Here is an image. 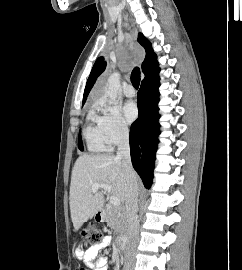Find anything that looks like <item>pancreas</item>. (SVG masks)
I'll return each instance as SVG.
<instances>
[{
  "label": "pancreas",
  "instance_id": "1",
  "mask_svg": "<svg viewBox=\"0 0 242 270\" xmlns=\"http://www.w3.org/2000/svg\"><path fill=\"white\" fill-rule=\"evenodd\" d=\"M105 221L111 228L115 229L121 235L125 233L127 229V222L123 208L114 205L107 207Z\"/></svg>",
  "mask_w": 242,
  "mask_h": 270
}]
</instances>
